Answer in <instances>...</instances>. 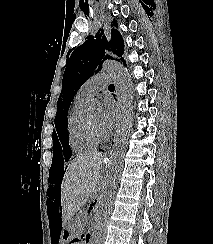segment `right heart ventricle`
Wrapping results in <instances>:
<instances>
[{
    "mask_svg": "<svg viewBox=\"0 0 213 244\" xmlns=\"http://www.w3.org/2000/svg\"><path fill=\"white\" fill-rule=\"evenodd\" d=\"M87 101L88 99L77 94L67 119L69 144L72 150L78 153L93 151L99 144L89 129L84 113Z\"/></svg>",
    "mask_w": 213,
    "mask_h": 244,
    "instance_id": "obj_1",
    "label": "right heart ventricle"
}]
</instances>
